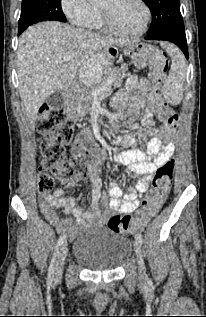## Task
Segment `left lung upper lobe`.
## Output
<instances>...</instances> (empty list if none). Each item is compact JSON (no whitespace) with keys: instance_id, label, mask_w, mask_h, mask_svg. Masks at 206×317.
I'll use <instances>...</instances> for the list:
<instances>
[{"instance_id":"obj_1","label":"left lung upper lobe","mask_w":206,"mask_h":317,"mask_svg":"<svg viewBox=\"0 0 206 317\" xmlns=\"http://www.w3.org/2000/svg\"><path fill=\"white\" fill-rule=\"evenodd\" d=\"M151 10L153 19L146 36L158 39L164 36H185L179 0H143Z\"/></svg>"}]
</instances>
